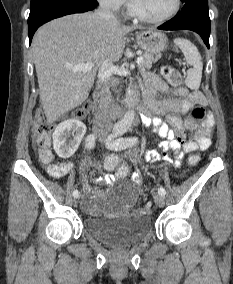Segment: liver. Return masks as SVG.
I'll list each match as a JSON object with an SVG mask.
<instances>
[{
  "instance_id": "obj_1",
  "label": "liver",
  "mask_w": 233,
  "mask_h": 284,
  "mask_svg": "<svg viewBox=\"0 0 233 284\" xmlns=\"http://www.w3.org/2000/svg\"><path fill=\"white\" fill-rule=\"evenodd\" d=\"M137 27L111 23L95 13L67 15L40 27L32 43L39 96L48 122L81 105L98 67L121 58L125 36ZM93 63L90 71L71 67Z\"/></svg>"
}]
</instances>
